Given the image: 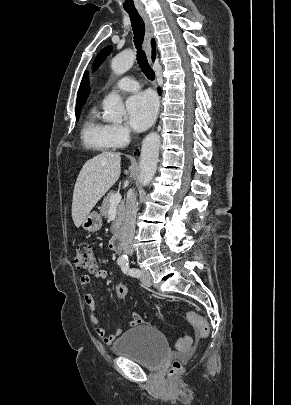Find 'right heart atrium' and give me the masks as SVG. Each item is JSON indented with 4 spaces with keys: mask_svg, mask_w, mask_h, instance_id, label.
<instances>
[{
    "mask_svg": "<svg viewBox=\"0 0 291 405\" xmlns=\"http://www.w3.org/2000/svg\"><path fill=\"white\" fill-rule=\"evenodd\" d=\"M111 137L116 147L125 145L130 139V130L125 125L113 124L110 128Z\"/></svg>",
    "mask_w": 291,
    "mask_h": 405,
    "instance_id": "right-heart-atrium-1",
    "label": "right heart atrium"
}]
</instances>
